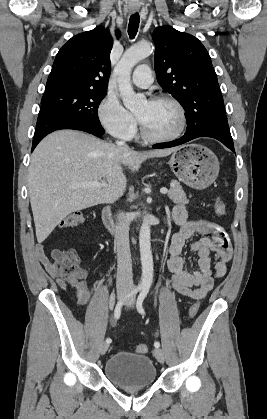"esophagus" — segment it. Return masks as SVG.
Returning <instances> with one entry per match:
<instances>
[{
  "instance_id": "1",
  "label": "esophagus",
  "mask_w": 267,
  "mask_h": 419,
  "mask_svg": "<svg viewBox=\"0 0 267 419\" xmlns=\"http://www.w3.org/2000/svg\"><path fill=\"white\" fill-rule=\"evenodd\" d=\"M139 10V7H137V6H132V7H130V12L131 13H135V12H137Z\"/></svg>"
}]
</instances>
